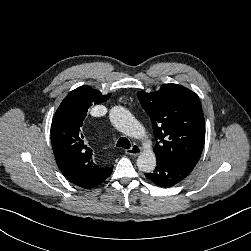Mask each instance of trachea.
Masks as SVG:
<instances>
[{"label": "trachea", "mask_w": 251, "mask_h": 251, "mask_svg": "<svg viewBox=\"0 0 251 251\" xmlns=\"http://www.w3.org/2000/svg\"><path fill=\"white\" fill-rule=\"evenodd\" d=\"M116 146L122 147V148H125V149H130L131 144H130V141H129L127 138L121 137V138L118 140Z\"/></svg>", "instance_id": "obj_1"}]
</instances>
